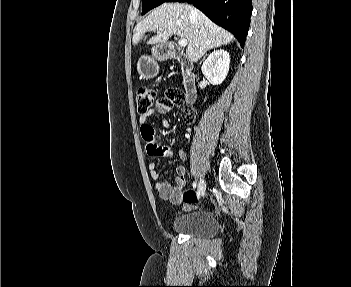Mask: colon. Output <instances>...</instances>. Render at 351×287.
I'll return each instance as SVG.
<instances>
[{"label": "colon", "mask_w": 351, "mask_h": 287, "mask_svg": "<svg viewBox=\"0 0 351 287\" xmlns=\"http://www.w3.org/2000/svg\"><path fill=\"white\" fill-rule=\"evenodd\" d=\"M135 100L137 104V110L140 113H145L149 111L152 107H155L157 113L166 114L171 110L173 106H183L185 103V95L180 89L171 88L166 91L164 98L156 100V93L152 88L139 87L135 92ZM189 113L192 112H187L185 121L187 123H192L194 121V118H187V115ZM194 200V192L187 191L184 193L183 201L186 204H191Z\"/></svg>", "instance_id": "obj_1"}]
</instances>
